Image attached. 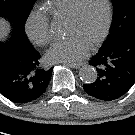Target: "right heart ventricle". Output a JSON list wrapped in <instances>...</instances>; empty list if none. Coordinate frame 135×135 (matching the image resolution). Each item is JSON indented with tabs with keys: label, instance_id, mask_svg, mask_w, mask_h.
I'll use <instances>...</instances> for the list:
<instances>
[{
	"label": "right heart ventricle",
	"instance_id": "e07e8e85",
	"mask_svg": "<svg viewBox=\"0 0 135 135\" xmlns=\"http://www.w3.org/2000/svg\"><path fill=\"white\" fill-rule=\"evenodd\" d=\"M77 0H48L45 9L56 18H67Z\"/></svg>",
	"mask_w": 135,
	"mask_h": 135
}]
</instances>
